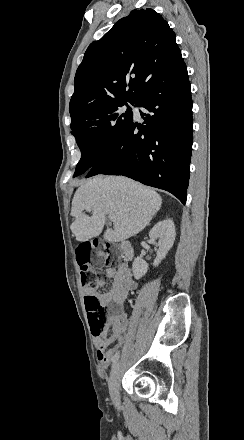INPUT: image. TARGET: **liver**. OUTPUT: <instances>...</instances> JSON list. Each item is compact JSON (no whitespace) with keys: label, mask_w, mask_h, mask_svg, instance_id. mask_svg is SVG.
I'll list each match as a JSON object with an SVG mask.
<instances>
[{"label":"liver","mask_w":244,"mask_h":440,"mask_svg":"<svg viewBox=\"0 0 244 440\" xmlns=\"http://www.w3.org/2000/svg\"><path fill=\"white\" fill-rule=\"evenodd\" d=\"M161 204V196L139 182L124 176H94L74 194L71 216L75 220L70 230L78 242L91 240L101 234L106 214H113L114 230L108 228L104 240L123 242L144 230ZM84 210L93 216L89 218Z\"/></svg>","instance_id":"1"}]
</instances>
